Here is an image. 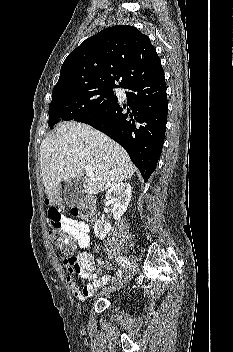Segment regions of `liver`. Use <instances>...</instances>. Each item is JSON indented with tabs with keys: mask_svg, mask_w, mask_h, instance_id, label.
I'll return each mask as SVG.
<instances>
[{
	"mask_svg": "<svg viewBox=\"0 0 233 352\" xmlns=\"http://www.w3.org/2000/svg\"><path fill=\"white\" fill-rule=\"evenodd\" d=\"M86 165L93 168L83 180V192L90 195L129 179L135 171L124 148L89 125L61 122L53 135L43 139L40 169L50 194L62 181L81 179Z\"/></svg>",
	"mask_w": 233,
	"mask_h": 352,
	"instance_id": "liver-1",
	"label": "liver"
}]
</instances>
